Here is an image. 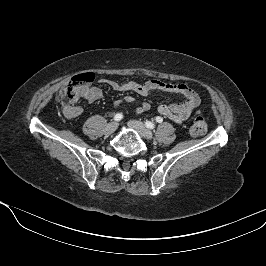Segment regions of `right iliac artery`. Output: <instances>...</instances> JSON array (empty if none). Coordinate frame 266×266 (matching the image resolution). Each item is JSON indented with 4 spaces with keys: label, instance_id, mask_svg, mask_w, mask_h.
<instances>
[{
    "label": "right iliac artery",
    "instance_id": "obj_1",
    "mask_svg": "<svg viewBox=\"0 0 266 266\" xmlns=\"http://www.w3.org/2000/svg\"><path fill=\"white\" fill-rule=\"evenodd\" d=\"M123 118V115L121 113H118L114 116L115 121H120Z\"/></svg>",
    "mask_w": 266,
    "mask_h": 266
}]
</instances>
